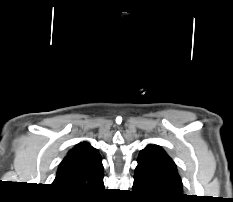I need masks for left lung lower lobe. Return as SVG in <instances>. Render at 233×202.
I'll return each mask as SVG.
<instances>
[{"instance_id":"left-lung-lower-lobe-1","label":"left lung lower lobe","mask_w":233,"mask_h":202,"mask_svg":"<svg viewBox=\"0 0 233 202\" xmlns=\"http://www.w3.org/2000/svg\"><path fill=\"white\" fill-rule=\"evenodd\" d=\"M133 191L144 196L145 198L156 202H180L182 196L166 195V193H160L150 189L147 184L142 182L137 177H134Z\"/></svg>"}]
</instances>
